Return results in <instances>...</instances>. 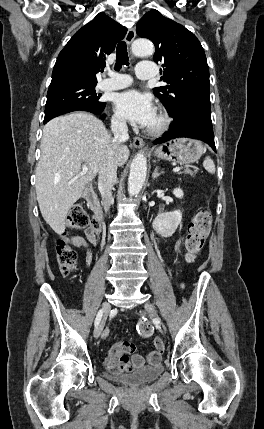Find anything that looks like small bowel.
Segmentation results:
<instances>
[{
    "instance_id": "1",
    "label": "small bowel",
    "mask_w": 264,
    "mask_h": 429,
    "mask_svg": "<svg viewBox=\"0 0 264 429\" xmlns=\"http://www.w3.org/2000/svg\"><path fill=\"white\" fill-rule=\"evenodd\" d=\"M101 226L100 223L94 220L91 225L86 229L85 235L86 238L81 236H74L68 239L69 243L73 246L83 248L86 253V265L89 266L93 259V254L90 248V245H96L98 242ZM182 245V239L178 240L176 243V249H179ZM107 333H105V336ZM135 345L126 342L120 341L115 343L108 351V356L111 359L117 360V366L126 372L133 371L135 369L143 368L146 364L154 365L161 360V354L163 350L150 351L146 357H143L140 354L135 353ZM131 354V356H129ZM111 362V361H109Z\"/></svg>"
}]
</instances>
